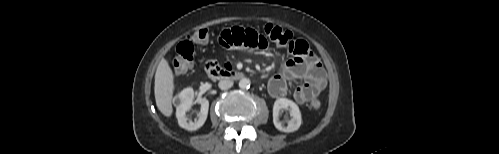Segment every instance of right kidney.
I'll list each match as a JSON object with an SVG mask.
<instances>
[{
  "label": "right kidney",
  "instance_id": "right-kidney-1",
  "mask_svg": "<svg viewBox=\"0 0 499 154\" xmlns=\"http://www.w3.org/2000/svg\"><path fill=\"white\" fill-rule=\"evenodd\" d=\"M175 101L177 102L176 117L180 127L189 131H195L203 126L207 119L209 108V102L206 98H197L196 101L201 104V110L198 119L194 122L188 121L186 117V112L191 108L194 101L193 89L191 87L185 88L175 97Z\"/></svg>",
  "mask_w": 499,
  "mask_h": 154
}]
</instances>
